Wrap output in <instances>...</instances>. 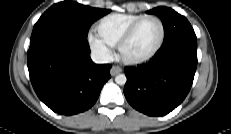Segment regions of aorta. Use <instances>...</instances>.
<instances>
[{
	"label": "aorta",
	"mask_w": 231,
	"mask_h": 134,
	"mask_svg": "<svg viewBox=\"0 0 231 134\" xmlns=\"http://www.w3.org/2000/svg\"><path fill=\"white\" fill-rule=\"evenodd\" d=\"M126 81H127V78L124 74H119L115 77V82L118 85H125Z\"/></svg>",
	"instance_id": "762f6f07"
}]
</instances>
